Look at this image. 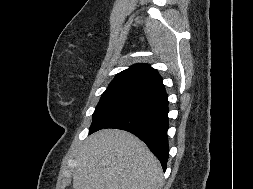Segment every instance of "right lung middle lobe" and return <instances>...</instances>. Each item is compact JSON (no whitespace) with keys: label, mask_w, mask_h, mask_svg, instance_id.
Listing matches in <instances>:
<instances>
[{"label":"right lung middle lobe","mask_w":253,"mask_h":189,"mask_svg":"<svg viewBox=\"0 0 253 189\" xmlns=\"http://www.w3.org/2000/svg\"><path fill=\"white\" fill-rule=\"evenodd\" d=\"M148 94L145 91L130 88H108L101 96L93 114L91 127L116 110L137 101ZM90 127V128H91Z\"/></svg>","instance_id":"1"}]
</instances>
